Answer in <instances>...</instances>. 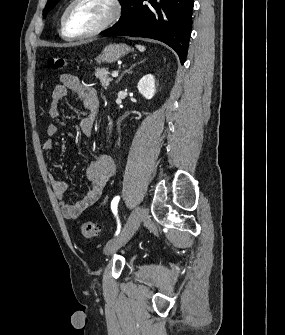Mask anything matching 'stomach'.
I'll list each match as a JSON object with an SVG mask.
<instances>
[{
    "instance_id": "stomach-1",
    "label": "stomach",
    "mask_w": 285,
    "mask_h": 335,
    "mask_svg": "<svg viewBox=\"0 0 285 335\" xmlns=\"http://www.w3.org/2000/svg\"><path fill=\"white\" fill-rule=\"evenodd\" d=\"M131 52V48L126 46V44H109V46H105L104 50H102L101 54L95 58L97 64H113V62H118L120 58L126 56Z\"/></svg>"
}]
</instances>
